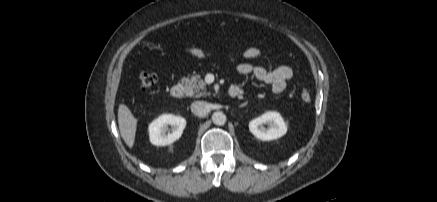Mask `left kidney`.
<instances>
[{
    "label": "left kidney",
    "mask_w": 437,
    "mask_h": 202,
    "mask_svg": "<svg viewBox=\"0 0 437 202\" xmlns=\"http://www.w3.org/2000/svg\"><path fill=\"white\" fill-rule=\"evenodd\" d=\"M263 124H268V128ZM249 130L258 139L270 141L285 135L287 126L278 112H266L249 122Z\"/></svg>",
    "instance_id": "left-kidney-1"
}]
</instances>
